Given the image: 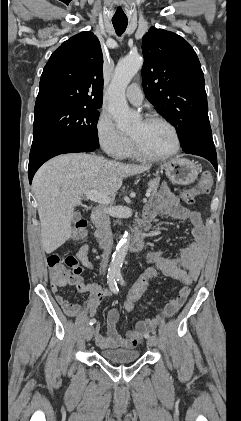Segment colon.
Masks as SVG:
<instances>
[{"instance_id": "5ec220e1", "label": "colon", "mask_w": 241, "mask_h": 421, "mask_svg": "<svg viewBox=\"0 0 241 421\" xmlns=\"http://www.w3.org/2000/svg\"><path fill=\"white\" fill-rule=\"evenodd\" d=\"M211 186L212 175L206 170L202 173L197 185L182 192L180 197L185 203L191 204L195 201L197 196L208 193ZM86 228V221L82 220L77 222L72 229L70 239L74 241L83 240L86 236ZM47 263L53 284L70 282L82 273V268L73 255L62 257L59 254H52L48 257ZM159 273L160 269L155 265L146 268L126 297L124 307L127 311H132L134 309L135 304L147 291L152 282L159 276Z\"/></svg>"}]
</instances>
